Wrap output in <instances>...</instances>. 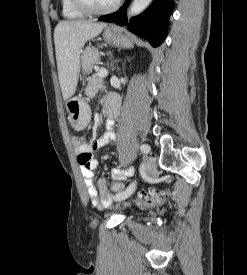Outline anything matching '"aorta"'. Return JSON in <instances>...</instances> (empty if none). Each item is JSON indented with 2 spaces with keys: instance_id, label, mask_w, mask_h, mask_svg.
I'll use <instances>...</instances> for the list:
<instances>
[{
  "instance_id": "aorta-1",
  "label": "aorta",
  "mask_w": 247,
  "mask_h": 275,
  "mask_svg": "<svg viewBox=\"0 0 247 275\" xmlns=\"http://www.w3.org/2000/svg\"><path fill=\"white\" fill-rule=\"evenodd\" d=\"M152 0H133L129 14L135 16L143 12L151 3Z\"/></svg>"
}]
</instances>
